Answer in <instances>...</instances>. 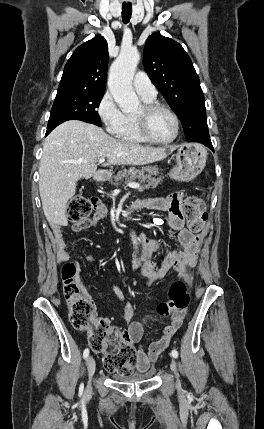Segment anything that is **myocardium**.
<instances>
[{
    "label": "myocardium",
    "instance_id": "1",
    "mask_svg": "<svg viewBox=\"0 0 264 429\" xmlns=\"http://www.w3.org/2000/svg\"><path fill=\"white\" fill-rule=\"evenodd\" d=\"M157 111H164V112L168 113L172 117V119L174 120L175 132H174V135L168 140H164V141L156 140L150 134L149 126H148V120H149V117L154 112H157ZM135 120H136L138 131H139L141 137L146 142L151 143V144H157V145L170 144L177 139L179 132H180V119H179L178 115L171 108H169L168 106L161 104V103H157V102L145 103L142 107V113L138 116H135Z\"/></svg>",
    "mask_w": 264,
    "mask_h": 429
}]
</instances>
